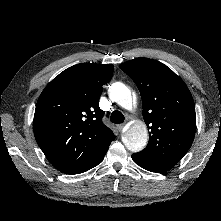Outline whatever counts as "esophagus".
<instances>
[{
	"label": "esophagus",
	"instance_id": "1",
	"mask_svg": "<svg viewBox=\"0 0 221 221\" xmlns=\"http://www.w3.org/2000/svg\"><path fill=\"white\" fill-rule=\"evenodd\" d=\"M124 127H125L124 124H119V125H117V129H118L120 132L123 131Z\"/></svg>",
	"mask_w": 221,
	"mask_h": 221
}]
</instances>
